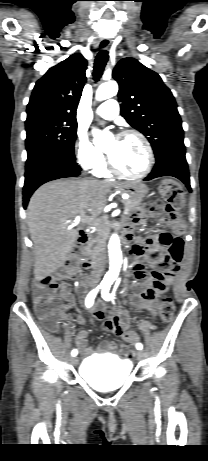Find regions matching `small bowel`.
Returning <instances> with one entry per match:
<instances>
[{"label":"small bowel","mask_w":208,"mask_h":461,"mask_svg":"<svg viewBox=\"0 0 208 461\" xmlns=\"http://www.w3.org/2000/svg\"><path fill=\"white\" fill-rule=\"evenodd\" d=\"M146 209H133L132 214L125 218L130 223H126L125 227L130 228L131 225H142L146 221ZM171 225H162L161 229L154 230L149 237H141L133 246V256L138 260L133 268L134 280L129 287H124L121 290V295H125L127 290L131 291V303L139 309L148 312L151 318L156 316V300L157 297L164 293L174 282L175 276L180 270L181 264L184 263L185 257L188 255V248L185 242V234H181L182 225L179 222L172 221ZM173 227V229H172ZM149 245L150 250L160 251H145ZM69 263H61V270L68 271L69 278H78L79 276V256H69ZM144 266L154 267L151 273L147 274ZM60 291L65 309L74 308L80 300L78 295L70 293V285L67 282L60 284ZM63 318L66 316L63 315ZM107 318L104 329L123 340H134L138 342V335L129 331V316L126 313L117 315H108L105 310L94 308L91 314V320ZM75 320L79 324H83L85 319L81 316H75ZM88 332L84 328L78 330L75 336V344L84 356H90L94 352H110L119 354L124 357V352L118 350L117 344L114 342H101L95 347L87 345Z\"/></svg>","instance_id":"c3829d8e"}]
</instances>
